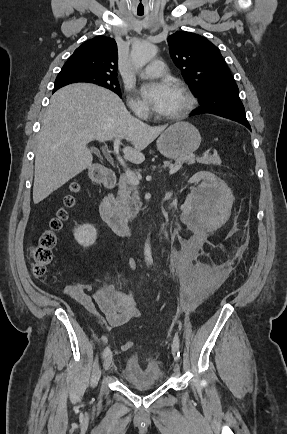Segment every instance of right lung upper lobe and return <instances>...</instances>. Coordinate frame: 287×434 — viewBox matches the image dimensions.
I'll return each instance as SVG.
<instances>
[{
	"label": "right lung upper lobe",
	"mask_w": 287,
	"mask_h": 434,
	"mask_svg": "<svg viewBox=\"0 0 287 434\" xmlns=\"http://www.w3.org/2000/svg\"><path fill=\"white\" fill-rule=\"evenodd\" d=\"M117 44L113 38L97 36L84 42L64 64L63 68L117 76ZM61 88L55 86L53 92Z\"/></svg>",
	"instance_id": "obj_1"
}]
</instances>
